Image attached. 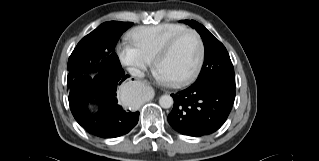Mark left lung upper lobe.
<instances>
[{
  "instance_id": "obj_1",
  "label": "left lung upper lobe",
  "mask_w": 319,
  "mask_h": 161,
  "mask_svg": "<svg viewBox=\"0 0 319 161\" xmlns=\"http://www.w3.org/2000/svg\"><path fill=\"white\" fill-rule=\"evenodd\" d=\"M183 22L196 29L205 46L204 64L195 83L212 82L235 88L234 68L224 45L195 20Z\"/></svg>"
}]
</instances>
